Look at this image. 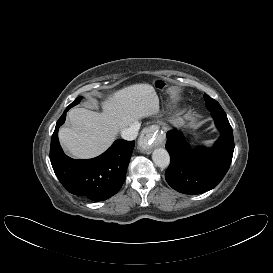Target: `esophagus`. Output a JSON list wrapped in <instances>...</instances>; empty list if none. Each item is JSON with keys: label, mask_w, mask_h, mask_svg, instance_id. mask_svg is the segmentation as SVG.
Segmentation results:
<instances>
[{"label": "esophagus", "mask_w": 273, "mask_h": 273, "mask_svg": "<svg viewBox=\"0 0 273 273\" xmlns=\"http://www.w3.org/2000/svg\"><path fill=\"white\" fill-rule=\"evenodd\" d=\"M157 127L151 126L144 128L141 132L140 138H139V145L142 147V151L146 152L148 149L154 146H162L164 144V138L161 136L157 137ZM152 142L151 146H148V142Z\"/></svg>", "instance_id": "34e87169"}]
</instances>
